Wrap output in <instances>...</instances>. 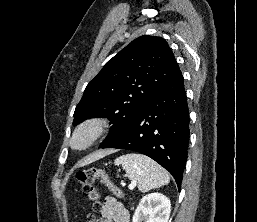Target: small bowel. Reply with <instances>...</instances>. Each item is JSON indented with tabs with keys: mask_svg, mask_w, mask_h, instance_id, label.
<instances>
[{
	"mask_svg": "<svg viewBox=\"0 0 257 222\" xmlns=\"http://www.w3.org/2000/svg\"><path fill=\"white\" fill-rule=\"evenodd\" d=\"M129 211L114 197L107 196L102 204L100 216L92 222H129Z\"/></svg>",
	"mask_w": 257,
	"mask_h": 222,
	"instance_id": "obj_1",
	"label": "small bowel"
}]
</instances>
